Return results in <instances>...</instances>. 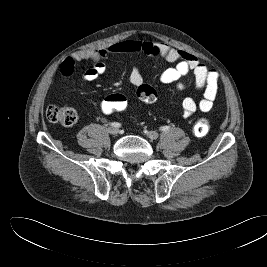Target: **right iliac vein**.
Instances as JSON below:
<instances>
[{
	"label": "right iliac vein",
	"instance_id": "obj_1",
	"mask_svg": "<svg viewBox=\"0 0 267 267\" xmlns=\"http://www.w3.org/2000/svg\"><path fill=\"white\" fill-rule=\"evenodd\" d=\"M108 132L112 135H117L119 132V129L117 127H109Z\"/></svg>",
	"mask_w": 267,
	"mask_h": 267
}]
</instances>
